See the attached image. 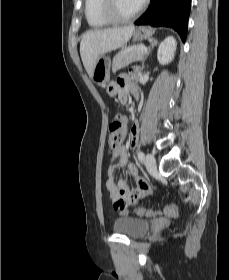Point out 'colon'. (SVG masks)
<instances>
[{"mask_svg": "<svg viewBox=\"0 0 229 280\" xmlns=\"http://www.w3.org/2000/svg\"><path fill=\"white\" fill-rule=\"evenodd\" d=\"M126 132L125 121L122 116L117 117L109 126V136L107 139L108 154H111L123 141ZM134 195L131 198L118 199L115 204L118 207L125 208L134 202ZM163 214L171 215L174 213L173 208H166L161 211ZM137 213L141 215H152V211H146L143 209H137Z\"/></svg>", "mask_w": 229, "mask_h": 280, "instance_id": "5ec220e1", "label": "colon"}]
</instances>
